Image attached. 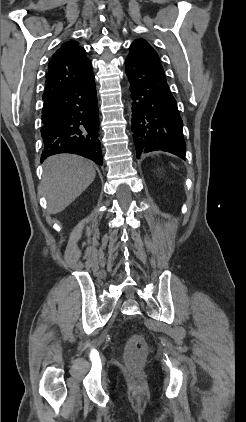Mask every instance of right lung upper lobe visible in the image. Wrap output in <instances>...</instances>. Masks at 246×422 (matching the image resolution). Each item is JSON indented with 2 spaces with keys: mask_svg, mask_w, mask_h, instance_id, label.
I'll use <instances>...</instances> for the list:
<instances>
[{
  "mask_svg": "<svg viewBox=\"0 0 246 422\" xmlns=\"http://www.w3.org/2000/svg\"><path fill=\"white\" fill-rule=\"evenodd\" d=\"M85 53L79 42L74 40L63 43L56 50L48 64L43 99L82 83L93 75L92 64Z\"/></svg>",
  "mask_w": 246,
  "mask_h": 422,
  "instance_id": "obj_1",
  "label": "right lung upper lobe"
}]
</instances>
